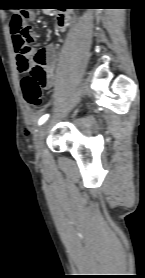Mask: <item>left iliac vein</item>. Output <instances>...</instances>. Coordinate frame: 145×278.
I'll list each match as a JSON object with an SVG mask.
<instances>
[{
  "mask_svg": "<svg viewBox=\"0 0 145 278\" xmlns=\"http://www.w3.org/2000/svg\"><path fill=\"white\" fill-rule=\"evenodd\" d=\"M46 131H47V124H44L35 133L34 146H35L36 154L38 156L41 155L42 153V143L45 138Z\"/></svg>",
  "mask_w": 145,
  "mask_h": 278,
  "instance_id": "left-iliac-vein-1",
  "label": "left iliac vein"
}]
</instances>
